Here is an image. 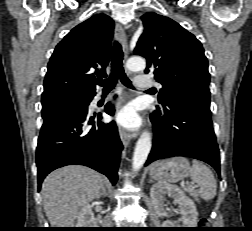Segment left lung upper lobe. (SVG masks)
Here are the masks:
<instances>
[{
  "label": "left lung upper lobe",
  "instance_id": "1",
  "mask_svg": "<svg viewBox=\"0 0 252 231\" xmlns=\"http://www.w3.org/2000/svg\"><path fill=\"white\" fill-rule=\"evenodd\" d=\"M144 30L134 49L147 60L145 73L153 72L163 88L162 106L169 97L194 90L210 96L208 61L198 39L172 19L150 12L144 14Z\"/></svg>",
  "mask_w": 252,
  "mask_h": 231
}]
</instances>
